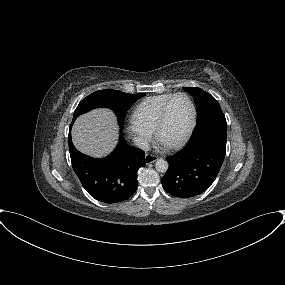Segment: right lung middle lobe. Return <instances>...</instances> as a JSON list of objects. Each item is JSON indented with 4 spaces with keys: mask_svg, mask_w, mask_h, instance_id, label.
Masks as SVG:
<instances>
[{
    "mask_svg": "<svg viewBox=\"0 0 285 285\" xmlns=\"http://www.w3.org/2000/svg\"><path fill=\"white\" fill-rule=\"evenodd\" d=\"M145 94H127L118 90L105 89L94 92L84 98L77 106L73 120L79 115L94 108H110L117 115L120 126L124 124V118L129 107Z\"/></svg>",
    "mask_w": 285,
    "mask_h": 285,
    "instance_id": "1",
    "label": "right lung middle lobe"
}]
</instances>
